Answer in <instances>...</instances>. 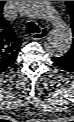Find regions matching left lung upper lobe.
Segmentation results:
<instances>
[{
	"instance_id": "1",
	"label": "left lung upper lobe",
	"mask_w": 74,
	"mask_h": 122,
	"mask_svg": "<svg viewBox=\"0 0 74 122\" xmlns=\"http://www.w3.org/2000/svg\"><path fill=\"white\" fill-rule=\"evenodd\" d=\"M66 3L70 11L71 27H72L73 37H74V1H66ZM72 43L73 44L71 46V49L63 57L74 62V38H73Z\"/></svg>"
}]
</instances>
